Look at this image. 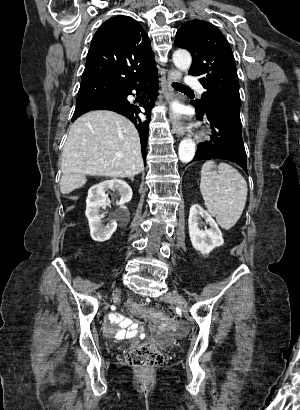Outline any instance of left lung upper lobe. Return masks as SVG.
<instances>
[{
  "label": "left lung upper lobe",
  "mask_w": 300,
  "mask_h": 410,
  "mask_svg": "<svg viewBox=\"0 0 300 410\" xmlns=\"http://www.w3.org/2000/svg\"><path fill=\"white\" fill-rule=\"evenodd\" d=\"M175 45L192 55L189 74L198 76L207 90L201 100L191 103L205 111L217 102L240 110L239 81L231 47L221 31L213 24L191 20L176 33Z\"/></svg>",
  "instance_id": "obj_1"
}]
</instances>
